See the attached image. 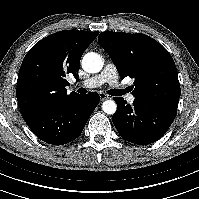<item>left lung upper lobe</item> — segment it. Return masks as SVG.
I'll list each match as a JSON object with an SVG mask.
<instances>
[{"label":"left lung upper lobe","instance_id":"obj_1","mask_svg":"<svg viewBox=\"0 0 199 199\" xmlns=\"http://www.w3.org/2000/svg\"><path fill=\"white\" fill-rule=\"evenodd\" d=\"M121 77L134 78L135 98L177 110L180 85L170 53L145 34L102 32L98 37Z\"/></svg>","mask_w":199,"mask_h":199}]
</instances>
